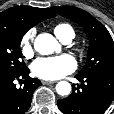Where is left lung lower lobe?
Wrapping results in <instances>:
<instances>
[{
  "label": "left lung lower lobe",
  "instance_id": "1",
  "mask_svg": "<svg viewBox=\"0 0 114 114\" xmlns=\"http://www.w3.org/2000/svg\"><path fill=\"white\" fill-rule=\"evenodd\" d=\"M81 85H72V93L58 100L64 114H103L114 99V74L75 76Z\"/></svg>",
  "mask_w": 114,
  "mask_h": 114
}]
</instances>
